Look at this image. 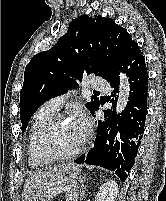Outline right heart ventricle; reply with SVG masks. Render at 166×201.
Returning a JSON list of instances; mask_svg holds the SVG:
<instances>
[{
	"mask_svg": "<svg viewBox=\"0 0 166 201\" xmlns=\"http://www.w3.org/2000/svg\"><path fill=\"white\" fill-rule=\"evenodd\" d=\"M54 111H51L45 107H42L39 109L33 116L31 121V126L29 130V136H28V145H27V151L29 156V165L32 168H37L42 165L49 164L51 162L45 161V162H39L35 155L34 145H35V137L37 134V131L39 127L49 120L51 117L54 116Z\"/></svg>",
	"mask_w": 166,
	"mask_h": 201,
	"instance_id": "e07e8e85",
	"label": "right heart ventricle"
}]
</instances>
